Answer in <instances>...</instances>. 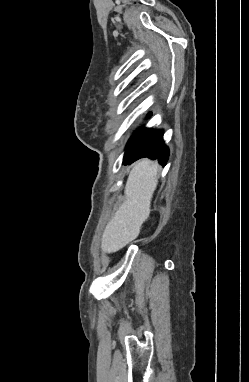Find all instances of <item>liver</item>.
Returning a JSON list of instances; mask_svg holds the SVG:
<instances>
[{
  "instance_id": "liver-1",
  "label": "liver",
  "mask_w": 249,
  "mask_h": 382,
  "mask_svg": "<svg viewBox=\"0 0 249 382\" xmlns=\"http://www.w3.org/2000/svg\"><path fill=\"white\" fill-rule=\"evenodd\" d=\"M157 163L139 161L131 170L125 186V201L111 218L101 238V250L113 253L136 239L150 215L153 193L158 184Z\"/></svg>"
}]
</instances>
